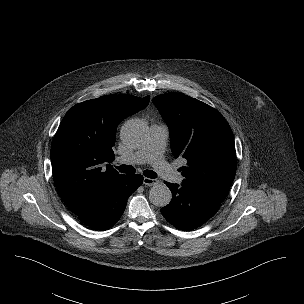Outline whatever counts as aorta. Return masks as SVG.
I'll list each match as a JSON object with an SVG mask.
<instances>
[{"instance_id": "1", "label": "aorta", "mask_w": 304, "mask_h": 304, "mask_svg": "<svg viewBox=\"0 0 304 304\" xmlns=\"http://www.w3.org/2000/svg\"><path fill=\"white\" fill-rule=\"evenodd\" d=\"M148 136V128L144 121L131 119L121 129V139L125 145L137 148ZM172 199V193L165 184H156L149 191L150 202L157 207L167 206Z\"/></svg>"}]
</instances>
